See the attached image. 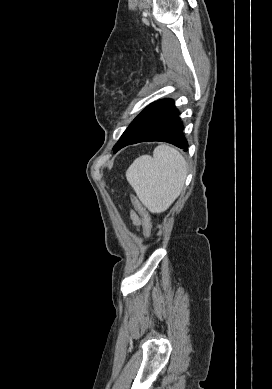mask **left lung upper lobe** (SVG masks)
Listing matches in <instances>:
<instances>
[{"mask_svg":"<svg viewBox=\"0 0 272 389\" xmlns=\"http://www.w3.org/2000/svg\"><path fill=\"white\" fill-rule=\"evenodd\" d=\"M134 120H135V119H134ZM134 120H133V121H134ZM133 121H132V123H133ZM132 123H131V124H132ZM131 124H130V125H131ZM129 127H130V126H129ZM129 127H128V128H129ZM128 128H127V129H128ZM127 129H126V131H127ZM126 131H125V132H126ZM125 132H124V133H125ZM124 133H123V134H124ZM117 143H118V142H117ZM117 143H116V145L114 146V151H115V149H116Z\"/></svg>","mask_w":272,"mask_h":389,"instance_id":"left-lung-upper-lobe-1","label":"left lung upper lobe"}]
</instances>
